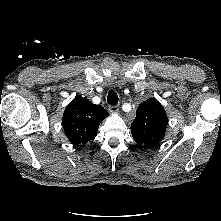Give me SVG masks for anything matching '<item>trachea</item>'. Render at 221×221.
<instances>
[{
    "mask_svg": "<svg viewBox=\"0 0 221 221\" xmlns=\"http://www.w3.org/2000/svg\"><path fill=\"white\" fill-rule=\"evenodd\" d=\"M107 102L110 105H116L118 104V95L115 91L110 90L108 92V96H107Z\"/></svg>",
    "mask_w": 221,
    "mask_h": 221,
    "instance_id": "3493384b",
    "label": "trachea"
}]
</instances>
